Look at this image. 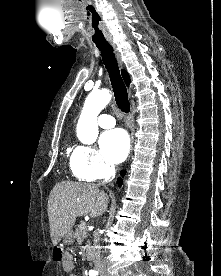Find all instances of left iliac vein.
I'll list each match as a JSON object with an SVG mask.
<instances>
[{
  "label": "left iliac vein",
  "instance_id": "obj_1",
  "mask_svg": "<svg viewBox=\"0 0 221 276\" xmlns=\"http://www.w3.org/2000/svg\"><path fill=\"white\" fill-rule=\"evenodd\" d=\"M101 276H110V275L106 272H101Z\"/></svg>",
  "mask_w": 221,
  "mask_h": 276
}]
</instances>
